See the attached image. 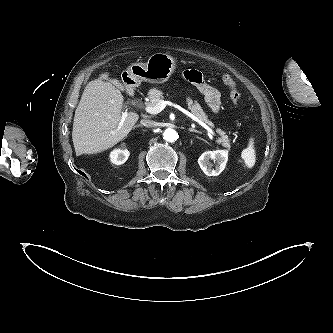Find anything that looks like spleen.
I'll use <instances>...</instances> for the list:
<instances>
[{
    "label": "spleen",
    "mask_w": 333,
    "mask_h": 333,
    "mask_svg": "<svg viewBox=\"0 0 333 333\" xmlns=\"http://www.w3.org/2000/svg\"><path fill=\"white\" fill-rule=\"evenodd\" d=\"M241 157L244 161L245 166L248 169H251L254 167L255 162H256V153H255V149H254V139L253 138L249 139L248 146H247V148H245L242 151Z\"/></svg>",
    "instance_id": "3e777b00"
}]
</instances>
